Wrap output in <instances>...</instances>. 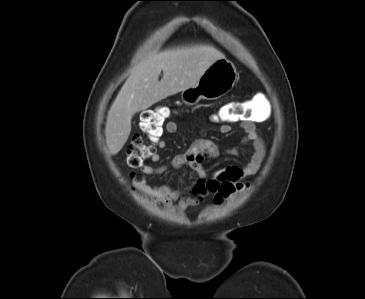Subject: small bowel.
<instances>
[{"mask_svg":"<svg viewBox=\"0 0 365 299\" xmlns=\"http://www.w3.org/2000/svg\"><path fill=\"white\" fill-rule=\"evenodd\" d=\"M259 120L260 117L257 116L252 120L241 121L240 125L245 133L241 140V145L251 142L254 148V152L250 160L243 166H231L221 169L208 178L204 167V161L206 157L215 158L219 156L220 150L212 141L207 139H200L196 141L188 151L176 155L172 159V166L174 168H191L199 177V181L195 188H199L209 181L214 183H223L228 181L238 182L245 177L255 175L260 170L266 154L264 142L256 130V122ZM219 130L222 133H228L231 130V126L229 124H221ZM165 131L169 134L177 133V123L174 121H168L165 124ZM154 141L159 149H164L167 146L165 140L161 138H157ZM240 152L241 148H232L227 151L229 155H238ZM150 159L152 162H159L160 156L157 153H153ZM166 169V165H144L141 167V171L147 175L161 174L166 171ZM138 186L147 195L176 210H184L189 205L197 202L194 195L189 198L180 197V194L176 189L166 184L151 187L146 183L139 181ZM176 201H178V204L173 205Z\"/></svg>","mask_w":365,"mask_h":299,"instance_id":"small-bowel-1","label":"small bowel"}]
</instances>
